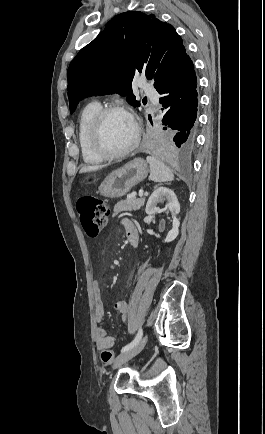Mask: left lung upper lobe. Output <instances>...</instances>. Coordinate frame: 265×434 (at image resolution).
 <instances>
[{
    "label": "left lung upper lobe",
    "instance_id": "left-lung-upper-lobe-1",
    "mask_svg": "<svg viewBox=\"0 0 265 434\" xmlns=\"http://www.w3.org/2000/svg\"><path fill=\"white\" fill-rule=\"evenodd\" d=\"M187 55L175 28L154 15L139 11L111 19L91 43L82 48L68 68V98L73 113L80 99L118 93L139 106L132 94L135 74L145 73L162 89Z\"/></svg>",
    "mask_w": 265,
    "mask_h": 434
}]
</instances>
